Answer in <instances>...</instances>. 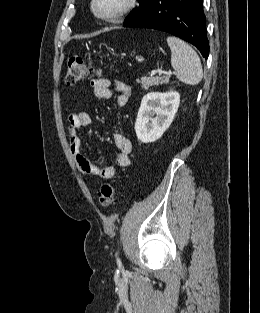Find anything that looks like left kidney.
I'll list each match as a JSON object with an SVG mask.
<instances>
[{
	"mask_svg": "<svg viewBox=\"0 0 260 313\" xmlns=\"http://www.w3.org/2000/svg\"><path fill=\"white\" fill-rule=\"evenodd\" d=\"M179 104L180 95L176 91L145 95L135 122L137 138L143 143L158 140L172 123Z\"/></svg>",
	"mask_w": 260,
	"mask_h": 313,
	"instance_id": "5707ae66",
	"label": "left kidney"
}]
</instances>
